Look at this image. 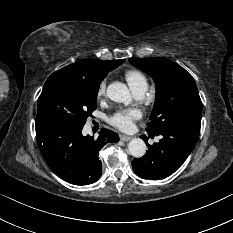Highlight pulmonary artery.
Here are the masks:
<instances>
[{
  "label": "pulmonary artery",
  "instance_id": "obj_1",
  "mask_svg": "<svg viewBox=\"0 0 233 233\" xmlns=\"http://www.w3.org/2000/svg\"><path fill=\"white\" fill-rule=\"evenodd\" d=\"M134 94L136 98L140 99L143 97L144 91H137V92H134Z\"/></svg>",
  "mask_w": 233,
  "mask_h": 233
}]
</instances>
